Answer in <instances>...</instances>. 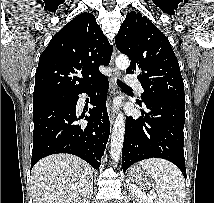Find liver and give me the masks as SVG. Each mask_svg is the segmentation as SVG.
<instances>
[{
  "label": "liver",
  "mask_w": 214,
  "mask_h": 203,
  "mask_svg": "<svg viewBox=\"0 0 214 203\" xmlns=\"http://www.w3.org/2000/svg\"><path fill=\"white\" fill-rule=\"evenodd\" d=\"M34 203H89L92 168L70 154H53L38 161L31 172Z\"/></svg>",
  "instance_id": "liver-1"
}]
</instances>
